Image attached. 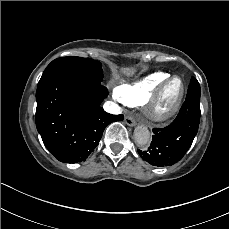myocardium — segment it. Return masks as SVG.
<instances>
[{
    "mask_svg": "<svg viewBox=\"0 0 229 229\" xmlns=\"http://www.w3.org/2000/svg\"><path fill=\"white\" fill-rule=\"evenodd\" d=\"M175 81H179L181 83V87H182L181 93H180L179 97L173 103H171V108L168 111H161L158 108V101L161 99V93L167 87H171V85ZM185 97H186V85H185L184 81L180 77H178V76L171 77L159 89V91L154 95V97L150 101V108H149V112H148V115H149L150 119L153 122H156V123H162V122H165V121L171 119L181 109Z\"/></svg>",
    "mask_w": 229,
    "mask_h": 229,
    "instance_id": "f54148a6",
    "label": "myocardium"
}]
</instances>
